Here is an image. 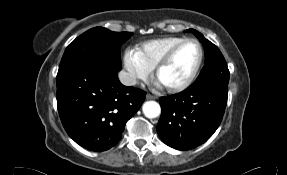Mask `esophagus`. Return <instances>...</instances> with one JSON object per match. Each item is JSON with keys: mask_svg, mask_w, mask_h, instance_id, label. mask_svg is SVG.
I'll list each match as a JSON object with an SVG mask.
<instances>
[{"mask_svg": "<svg viewBox=\"0 0 287 175\" xmlns=\"http://www.w3.org/2000/svg\"><path fill=\"white\" fill-rule=\"evenodd\" d=\"M157 97L155 95H152L150 93L146 94V99H156Z\"/></svg>", "mask_w": 287, "mask_h": 175, "instance_id": "obj_1", "label": "esophagus"}]
</instances>
